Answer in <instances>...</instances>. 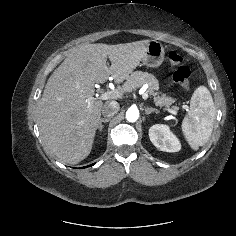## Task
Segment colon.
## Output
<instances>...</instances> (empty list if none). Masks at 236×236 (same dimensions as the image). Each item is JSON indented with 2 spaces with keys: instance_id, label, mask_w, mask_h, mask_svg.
I'll return each mask as SVG.
<instances>
[{
  "instance_id": "colon-1",
  "label": "colon",
  "mask_w": 236,
  "mask_h": 236,
  "mask_svg": "<svg viewBox=\"0 0 236 236\" xmlns=\"http://www.w3.org/2000/svg\"><path fill=\"white\" fill-rule=\"evenodd\" d=\"M168 62L173 68V80L184 90H189L191 86V72L185 65L183 57L175 51L168 54Z\"/></svg>"
}]
</instances>
